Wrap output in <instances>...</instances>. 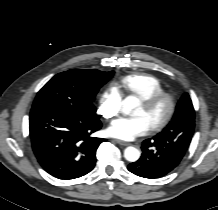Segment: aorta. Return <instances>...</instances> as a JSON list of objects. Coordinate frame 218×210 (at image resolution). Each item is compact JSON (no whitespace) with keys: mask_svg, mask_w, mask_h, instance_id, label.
I'll use <instances>...</instances> for the list:
<instances>
[{"mask_svg":"<svg viewBox=\"0 0 218 210\" xmlns=\"http://www.w3.org/2000/svg\"><path fill=\"white\" fill-rule=\"evenodd\" d=\"M140 104L135 96L126 97L121 103V111L125 115H131L133 110ZM124 157L129 162H135L140 157V151L135 147L129 146L124 150Z\"/></svg>","mask_w":218,"mask_h":210,"instance_id":"obj_1","label":"aorta"}]
</instances>
